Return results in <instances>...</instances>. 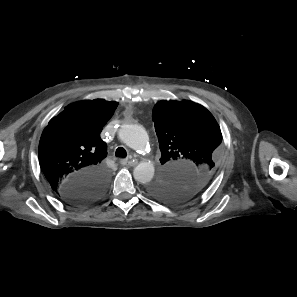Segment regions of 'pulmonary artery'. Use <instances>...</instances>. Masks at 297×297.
<instances>
[{"label":"pulmonary artery","mask_w":297,"mask_h":297,"mask_svg":"<svg viewBox=\"0 0 297 297\" xmlns=\"http://www.w3.org/2000/svg\"><path fill=\"white\" fill-rule=\"evenodd\" d=\"M125 141H127V139L126 138H123Z\"/></svg>","instance_id":"pulmonary-artery-1"}]
</instances>
